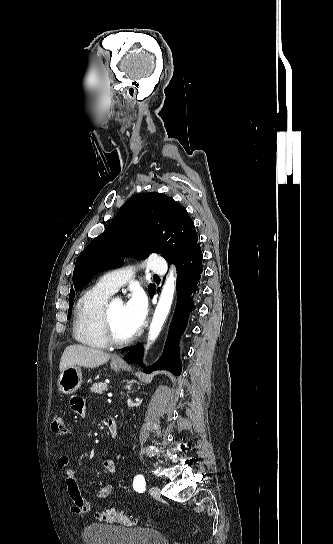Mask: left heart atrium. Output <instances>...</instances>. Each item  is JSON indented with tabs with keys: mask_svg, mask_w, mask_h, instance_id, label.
I'll list each match as a JSON object with an SVG mask.
<instances>
[{
	"mask_svg": "<svg viewBox=\"0 0 333 544\" xmlns=\"http://www.w3.org/2000/svg\"><path fill=\"white\" fill-rule=\"evenodd\" d=\"M147 310L148 304L145 294L141 290H135L124 304L126 321L134 333L143 325Z\"/></svg>",
	"mask_w": 333,
	"mask_h": 544,
	"instance_id": "39dd6f15",
	"label": "left heart atrium"
}]
</instances>
